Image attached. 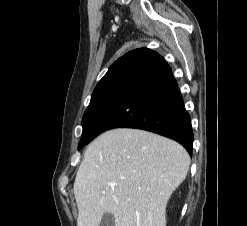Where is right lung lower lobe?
Returning <instances> with one entry per match:
<instances>
[{
    "instance_id": "1",
    "label": "right lung lower lobe",
    "mask_w": 247,
    "mask_h": 226,
    "mask_svg": "<svg viewBox=\"0 0 247 226\" xmlns=\"http://www.w3.org/2000/svg\"><path fill=\"white\" fill-rule=\"evenodd\" d=\"M113 128H136L169 137L192 155L190 116L170 66L158 53L147 48L131 51L86 144Z\"/></svg>"
}]
</instances>
